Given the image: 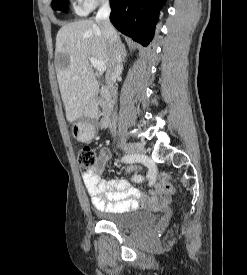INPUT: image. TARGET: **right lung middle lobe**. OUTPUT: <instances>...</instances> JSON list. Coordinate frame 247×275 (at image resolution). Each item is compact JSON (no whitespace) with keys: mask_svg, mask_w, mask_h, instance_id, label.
I'll return each mask as SVG.
<instances>
[{"mask_svg":"<svg viewBox=\"0 0 247 275\" xmlns=\"http://www.w3.org/2000/svg\"><path fill=\"white\" fill-rule=\"evenodd\" d=\"M52 7L54 10H61L66 12L68 7V0H52Z\"/></svg>","mask_w":247,"mask_h":275,"instance_id":"dd1d6c3e","label":"right lung middle lobe"}]
</instances>
